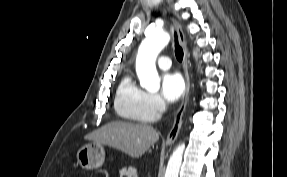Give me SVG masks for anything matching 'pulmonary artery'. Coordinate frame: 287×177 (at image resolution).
<instances>
[{"label":"pulmonary artery","mask_w":287,"mask_h":177,"mask_svg":"<svg viewBox=\"0 0 287 177\" xmlns=\"http://www.w3.org/2000/svg\"><path fill=\"white\" fill-rule=\"evenodd\" d=\"M157 64L160 68L162 69H168L171 66V61L170 58L168 56H160L158 58Z\"/></svg>","instance_id":"e3ab8cb5"}]
</instances>
